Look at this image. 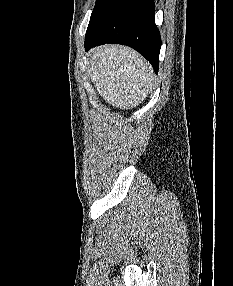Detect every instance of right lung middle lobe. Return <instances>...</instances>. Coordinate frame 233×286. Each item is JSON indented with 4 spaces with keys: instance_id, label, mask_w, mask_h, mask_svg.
Masks as SVG:
<instances>
[{
    "instance_id": "right-lung-middle-lobe-1",
    "label": "right lung middle lobe",
    "mask_w": 233,
    "mask_h": 286,
    "mask_svg": "<svg viewBox=\"0 0 233 286\" xmlns=\"http://www.w3.org/2000/svg\"><path fill=\"white\" fill-rule=\"evenodd\" d=\"M103 0H96V4H95V7H94V10L98 7V5L102 2ZM93 10V11H94Z\"/></svg>"
}]
</instances>
